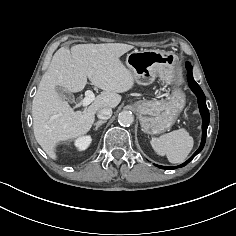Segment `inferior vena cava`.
Returning <instances> with one entry per match:
<instances>
[{"label":"inferior vena cava","instance_id":"obj_1","mask_svg":"<svg viewBox=\"0 0 236 236\" xmlns=\"http://www.w3.org/2000/svg\"><path fill=\"white\" fill-rule=\"evenodd\" d=\"M112 116V109L110 107H103L98 110L97 117L102 120H107Z\"/></svg>","mask_w":236,"mask_h":236}]
</instances>
